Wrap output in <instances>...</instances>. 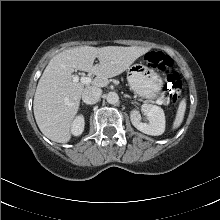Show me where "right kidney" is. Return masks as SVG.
Wrapping results in <instances>:
<instances>
[{
  "label": "right kidney",
  "instance_id": "obj_1",
  "mask_svg": "<svg viewBox=\"0 0 220 220\" xmlns=\"http://www.w3.org/2000/svg\"><path fill=\"white\" fill-rule=\"evenodd\" d=\"M84 130V117L78 116L72 123L71 132L75 136H79L82 134Z\"/></svg>",
  "mask_w": 220,
  "mask_h": 220
}]
</instances>
